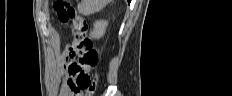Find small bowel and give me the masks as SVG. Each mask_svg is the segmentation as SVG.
Here are the masks:
<instances>
[{
  "label": "small bowel",
  "instance_id": "c3829d8e",
  "mask_svg": "<svg viewBox=\"0 0 232 96\" xmlns=\"http://www.w3.org/2000/svg\"><path fill=\"white\" fill-rule=\"evenodd\" d=\"M69 61L70 59L68 55L65 56L63 59L64 65H66ZM87 72L89 71L87 70ZM75 81L76 77L74 75H71L70 72H68V76L65 78L61 88V96H72L73 93H75Z\"/></svg>",
  "mask_w": 232,
  "mask_h": 96
}]
</instances>
